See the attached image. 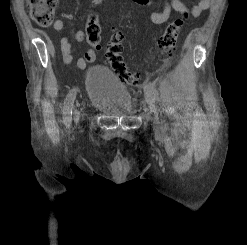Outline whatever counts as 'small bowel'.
<instances>
[{
	"mask_svg": "<svg viewBox=\"0 0 247 245\" xmlns=\"http://www.w3.org/2000/svg\"><path fill=\"white\" fill-rule=\"evenodd\" d=\"M92 4L96 5L98 4L94 0H90ZM138 4L141 5H147L150 3L149 0H134ZM211 0H199V2L189 9L181 0H168L165 4V7L161 11H153L151 13V21L154 24H164L166 23L172 12H177L181 15L184 16H189V17H198L202 12L207 10L210 6ZM62 18L66 20H73L74 16L70 12H64L62 14ZM53 28L56 31H63L65 28V24L62 19H57L54 24ZM71 36L76 40V41H83L85 39V35L83 31H72ZM115 38L120 39L121 34L119 32H114L113 35ZM60 48H61V53H62V60L65 64H71L74 62L73 55H72V48H71V43L67 37H62L60 41ZM96 54L94 50L88 49L85 51L83 57L77 59L75 61V66L79 69H84L88 63H91L95 60Z\"/></svg>",
	"mask_w": 247,
	"mask_h": 245,
	"instance_id": "small-bowel-1",
	"label": "small bowel"
}]
</instances>
